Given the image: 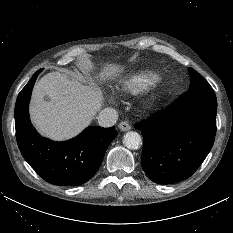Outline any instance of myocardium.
<instances>
[{
    "instance_id": "f54148a6",
    "label": "myocardium",
    "mask_w": 233,
    "mask_h": 233,
    "mask_svg": "<svg viewBox=\"0 0 233 233\" xmlns=\"http://www.w3.org/2000/svg\"><path fill=\"white\" fill-rule=\"evenodd\" d=\"M164 96V87L159 84H155L152 88L144 95L142 99V107L146 111L156 110L162 103Z\"/></svg>"
}]
</instances>
